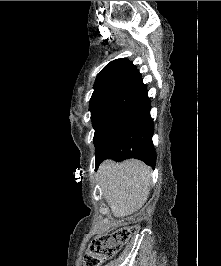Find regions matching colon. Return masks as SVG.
<instances>
[{
    "label": "colon",
    "instance_id": "obj_1",
    "mask_svg": "<svg viewBox=\"0 0 221 266\" xmlns=\"http://www.w3.org/2000/svg\"><path fill=\"white\" fill-rule=\"evenodd\" d=\"M137 230L136 225H129L93 238L84 257L85 266H100L118 252Z\"/></svg>",
    "mask_w": 221,
    "mask_h": 266
}]
</instances>
